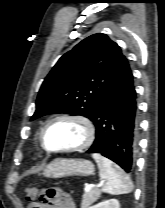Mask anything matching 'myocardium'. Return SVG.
I'll return each instance as SVG.
<instances>
[{"label": "myocardium", "instance_id": "myocardium-1", "mask_svg": "<svg viewBox=\"0 0 165 208\" xmlns=\"http://www.w3.org/2000/svg\"><path fill=\"white\" fill-rule=\"evenodd\" d=\"M60 120H70V121H74V122L78 123L79 125H81L82 128L84 129V133H85L84 140L81 143H79L75 146H72V147L60 148V149L48 148L45 144V134L52 124H54L55 122L60 121ZM94 139H95V127H94L93 122L85 116H80V115H75V114H61V115L51 118L44 125V127L42 128L40 135H39L41 147L46 152L54 153V154L77 152V151L84 150V149L88 148L93 143Z\"/></svg>", "mask_w": 165, "mask_h": 208}]
</instances>
